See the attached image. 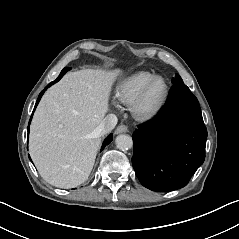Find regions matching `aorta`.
<instances>
[{"mask_svg": "<svg viewBox=\"0 0 239 239\" xmlns=\"http://www.w3.org/2000/svg\"><path fill=\"white\" fill-rule=\"evenodd\" d=\"M116 146L121 150H127L133 146L132 137L130 135L120 134L115 139Z\"/></svg>", "mask_w": 239, "mask_h": 239, "instance_id": "aorta-1", "label": "aorta"}]
</instances>
